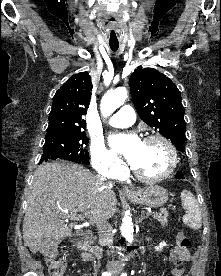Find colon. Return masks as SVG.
Returning <instances> with one entry per match:
<instances>
[{"mask_svg":"<svg viewBox=\"0 0 221 276\" xmlns=\"http://www.w3.org/2000/svg\"><path fill=\"white\" fill-rule=\"evenodd\" d=\"M176 244L178 248L186 250L191 246L189 238L183 232L176 234ZM41 252L46 259L49 275L65 276L66 263L63 260L56 259L58 253L57 247L45 246Z\"/></svg>","mask_w":221,"mask_h":276,"instance_id":"colon-1","label":"colon"}]
</instances>
